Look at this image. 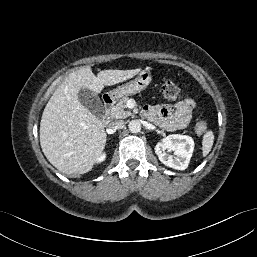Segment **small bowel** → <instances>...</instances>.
<instances>
[{
    "instance_id": "1",
    "label": "small bowel",
    "mask_w": 257,
    "mask_h": 257,
    "mask_svg": "<svg viewBox=\"0 0 257 257\" xmlns=\"http://www.w3.org/2000/svg\"><path fill=\"white\" fill-rule=\"evenodd\" d=\"M195 111V102L185 98L172 108L160 105L146 106L145 115L167 131L185 128L191 121Z\"/></svg>"
}]
</instances>
